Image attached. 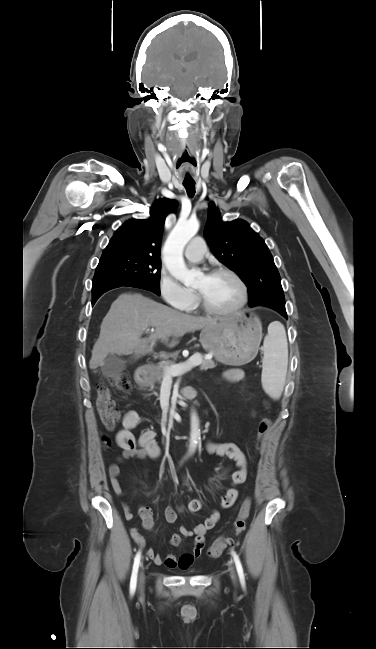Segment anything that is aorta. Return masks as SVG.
<instances>
[{
	"instance_id": "aorta-1",
	"label": "aorta",
	"mask_w": 376,
	"mask_h": 649,
	"mask_svg": "<svg viewBox=\"0 0 376 649\" xmlns=\"http://www.w3.org/2000/svg\"><path fill=\"white\" fill-rule=\"evenodd\" d=\"M199 230L197 219L186 221L179 220L170 233L164 246V263L171 275L184 284L192 283L199 272L188 269L184 259L183 250L189 240ZM200 439L199 421L195 412L191 414L190 451L193 452Z\"/></svg>"
}]
</instances>
